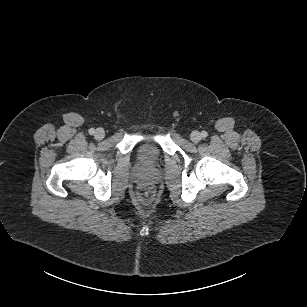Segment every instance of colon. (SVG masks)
Returning <instances> with one entry per match:
<instances>
[{
  "label": "colon",
  "instance_id": "1",
  "mask_svg": "<svg viewBox=\"0 0 307 307\" xmlns=\"http://www.w3.org/2000/svg\"><path fill=\"white\" fill-rule=\"evenodd\" d=\"M141 194L145 199H149L151 196V191L149 189H143Z\"/></svg>",
  "mask_w": 307,
  "mask_h": 307
}]
</instances>
